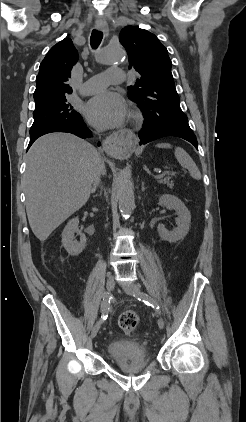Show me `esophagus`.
<instances>
[{
  "label": "esophagus",
  "mask_w": 246,
  "mask_h": 422,
  "mask_svg": "<svg viewBox=\"0 0 246 422\" xmlns=\"http://www.w3.org/2000/svg\"><path fill=\"white\" fill-rule=\"evenodd\" d=\"M96 29L98 31H102L106 36L109 33V28L105 24L97 25ZM121 145H122V141L120 140L118 135L109 136L103 141V149L105 150L106 153H108L110 155L118 154V152L121 148Z\"/></svg>",
  "instance_id": "obj_1"
}]
</instances>
